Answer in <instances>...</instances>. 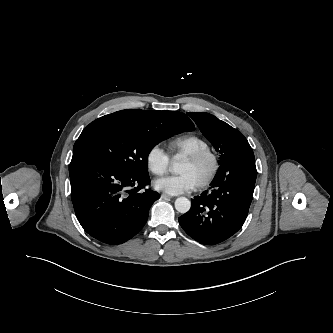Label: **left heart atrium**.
<instances>
[{
	"mask_svg": "<svg viewBox=\"0 0 333 333\" xmlns=\"http://www.w3.org/2000/svg\"><path fill=\"white\" fill-rule=\"evenodd\" d=\"M156 189L171 195L187 193L197 187L196 182L187 174L169 176L154 181Z\"/></svg>",
	"mask_w": 333,
	"mask_h": 333,
	"instance_id": "39dd6f15",
	"label": "left heart atrium"
}]
</instances>
